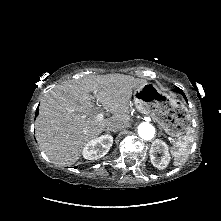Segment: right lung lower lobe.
<instances>
[{"instance_id":"right-lung-lower-lobe-1","label":"right lung lower lobe","mask_w":221,"mask_h":221,"mask_svg":"<svg viewBox=\"0 0 221 221\" xmlns=\"http://www.w3.org/2000/svg\"><path fill=\"white\" fill-rule=\"evenodd\" d=\"M38 113H39V112H38V108H37V110H36V114H35V115L37 116V115H38Z\"/></svg>"}]
</instances>
